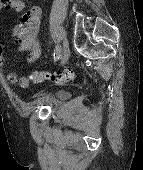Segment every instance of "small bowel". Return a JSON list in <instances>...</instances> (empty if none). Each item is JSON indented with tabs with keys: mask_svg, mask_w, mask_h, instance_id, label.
<instances>
[{
	"mask_svg": "<svg viewBox=\"0 0 143 170\" xmlns=\"http://www.w3.org/2000/svg\"><path fill=\"white\" fill-rule=\"evenodd\" d=\"M24 9L23 0H6L0 4V10H9L12 12H21ZM42 11L38 7L30 9L23 15L20 22L14 26L11 34V40L18 45V51L21 53H27L26 62H35L41 54L40 46L37 40V36L40 28ZM3 46L0 44V66L3 65ZM7 82L11 84L18 83L21 88H26L29 85L27 77H20L14 72H8L5 75ZM22 82H26L25 87L21 86Z\"/></svg>",
	"mask_w": 143,
	"mask_h": 170,
	"instance_id": "1",
	"label": "small bowel"
}]
</instances>
